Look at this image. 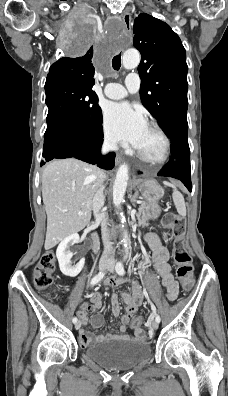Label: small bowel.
Masks as SVG:
<instances>
[{"label":"small bowel","mask_w":228,"mask_h":396,"mask_svg":"<svg viewBox=\"0 0 228 396\" xmlns=\"http://www.w3.org/2000/svg\"><path fill=\"white\" fill-rule=\"evenodd\" d=\"M145 241L151 248L152 254L151 259L155 270L158 272L159 276L161 277L162 285L166 289V295L169 300H175L178 296L179 286L178 283L175 281L171 266L168 263L169 260V252L168 250L163 247L158 239V237L153 234L149 233L145 236ZM129 281V279H121V278H110L105 281L107 286L111 287H118L124 282ZM132 292H121L120 297L123 302L126 304V313L122 318V325L119 328V335L110 332L109 334L103 336H94L84 329H80L78 336L79 341L83 347L92 346L99 342L108 339H129V340H139V341H146L147 335L143 329L135 328L134 335H129L126 333L127 325L133 319L134 314L138 310L139 306L143 301V294L140 285L132 280ZM102 307V295L100 293H93L90 295V303H84L81 309L78 312V316L81 320V325L86 324L88 321V316L91 312L98 310ZM111 308L114 316H118L120 314V304L119 298L117 295L111 296ZM104 322L103 316L101 314H95L91 318V324L95 328H99Z\"/></svg>","instance_id":"obj_1"}]
</instances>
